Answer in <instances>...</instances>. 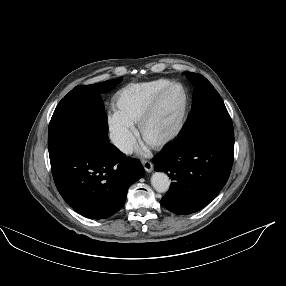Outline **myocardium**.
I'll use <instances>...</instances> for the list:
<instances>
[{
  "label": "myocardium",
  "instance_id": "myocardium-1",
  "mask_svg": "<svg viewBox=\"0 0 286 286\" xmlns=\"http://www.w3.org/2000/svg\"><path fill=\"white\" fill-rule=\"evenodd\" d=\"M174 88H180L184 94L183 108L179 120L177 121L176 125L172 128V130L169 133H167L164 137L156 141H148L144 134L145 126L153 116L161 99L165 96L166 93H168L170 90ZM189 110H190V98L186 87L181 83H171L170 85L163 88L152 98V100L149 102L144 112L142 113L141 117L139 118L138 129L141 137L155 149H162L167 147L179 136V134L183 130L189 116Z\"/></svg>",
  "mask_w": 286,
  "mask_h": 286
}]
</instances>
